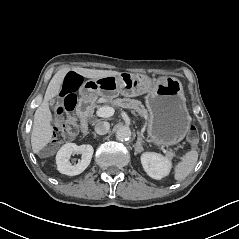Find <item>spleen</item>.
<instances>
[{"mask_svg": "<svg viewBox=\"0 0 239 239\" xmlns=\"http://www.w3.org/2000/svg\"><path fill=\"white\" fill-rule=\"evenodd\" d=\"M198 160L197 151H190L183 156L182 161L175 167V179L183 180L185 179L191 171L194 169Z\"/></svg>", "mask_w": 239, "mask_h": 239, "instance_id": "1", "label": "spleen"}]
</instances>
